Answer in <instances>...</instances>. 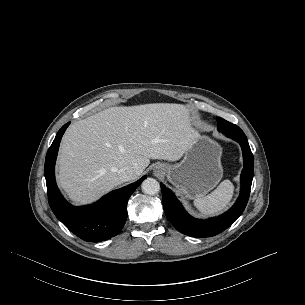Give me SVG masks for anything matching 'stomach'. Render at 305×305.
I'll list each match as a JSON object with an SVG mask.
<instances>
[{"label":"stomach","mask_w":305,"mask_h":305,"mask_svg":"<svg viewBox=\"0 0 305 305\" xmlns=\"http://www.w3.org/2000/svg\"><path fill=\"white\" fill-rule=\"evenodd\" d=\"M222 148L207 136L198 135L178 164H161L164 175L185 197L192 199L212 190L221 180Z\"/></svg>","instance_id":"obj_1"}]
</instances>
